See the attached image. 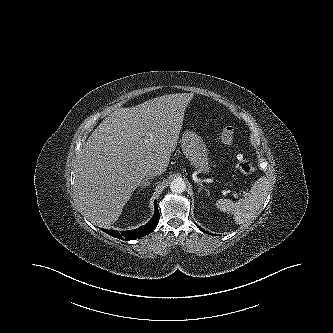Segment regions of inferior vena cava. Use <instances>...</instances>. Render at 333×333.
<instances>
[{"mask_svg":"<svg viewBox=\"0 0 333 333\" xmlns=\"http://www.w3.org/2000/svg\"><path fill=\"white\" fill-rule=\"evenodd\" d=\"M162 173H163V170H161L158 167H153L148 171L146 177H155V176L161 175Z\"/></svg>","mask_w":333,"mask_h":333,"instance_id":"inferior-vena-cava-1","label":"inferior vena cava"}]
</instances>
